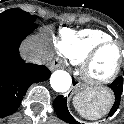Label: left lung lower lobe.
Returning a JSON list of instances; mask_svg holds the SVG:
<instances>
[{
	"instance_id": "left-lung-lower-lobe-1",
	"label": "left lung lower lobe",
	"mask_w": 124,
	"mask_h": 124,
	"mask_svg": "<svg viewBox=\"0 0 124 124\" xmlns=\"http://www.w3.org/2000/svg\"><path fill=\"white\" fill-rule=\"evenodd\" d=\"M109 87L114 94L113 106L110 109L109 114H108V116H112L117 111L120 105L121 95L123 92V77L119 76L118 78H116V80L112 84H110ZM53 107H54L56 114L61 120L67 123H70V124H81L78 121H76L72 117V115L69 113L68 108H67V99L64 98L62 95H59L54 100Z\"/></svg>"
}]
</instances>
